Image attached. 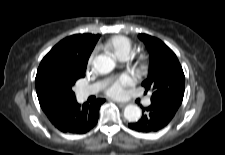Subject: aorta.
Listing matches in <instances>:
<instances>
[{
    "mask_svg": "<svg viewBox=\"0 0 225 155\" xmlns=\"http://www.w3.org/2000/svg\"><path fill=\"white\" fill-rule=\"evenodd\" d=\"M95 70L100 74H108L115 68V61L107 55H98L93 60ZM124 117L129 122H137L141 118V109L129 104L124 109Z\"/></svg>",
    "mask_w": 225,
    "mask_h": 155,
    "instance_id": "762f6f07",
    "label": "aorta"
}]
</instances>
